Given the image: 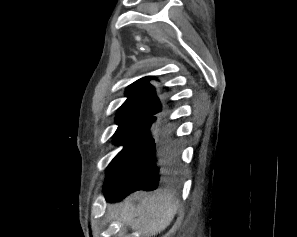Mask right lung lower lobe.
Returning <instances> with one entry per match:
<instances>
[{"label": "right lung lower lobe", "instance_id": "obj_1", "mask_svg": "<svg viewBox=\"0 0 297 237\" xmlns=\"http://www.w3.org/2000/svg\"><path fill=\"white\" fill-rule=\"evenodd\" d=\"M166 117L156 118L128 158L119 185L104 188L107 201L122 200L137 190L152 191L161 182H169L177 171L173 133Z\"/></svg>", "mask_w": 297, "mask_h": 237}]
</instances>
